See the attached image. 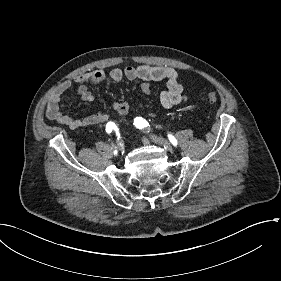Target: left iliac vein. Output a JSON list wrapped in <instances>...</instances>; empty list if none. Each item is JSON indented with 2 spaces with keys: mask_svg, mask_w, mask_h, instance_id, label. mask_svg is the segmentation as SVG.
I'll return each mask as SVG.
<instances>
[{
  "mask_svg": "<svg viewBox=\"0 0 281 281\" xmlns=\"http://www.w3.org/2000/svg\"><path fill=\"white\" fill-rule=\"evenodd\" d=\"M150 139L154 143L162 145L167 151H171L172 150L171 145L166 140H164L163 138L155 136V135H151Z\"/></svg>",
  "mask_w": 281,
  "mask_h": 281,
  "instance_id": "1",
  "label": "left iliac vein"
}]
</instances>
